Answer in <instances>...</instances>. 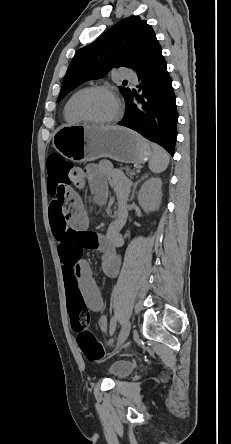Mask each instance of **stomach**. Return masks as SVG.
<instances>
[{
    "instance_id": "stomach-1",
    "label": "stomach",
    "mask_w": 231,
    "mask_h": 444,
    "mask_svg": "<svg viewBox=\"0 0 231 444\" xmlns=\"http://www.w3.org/2000/svg\"><path fill=\"white\" fill-rule=\"evenodd\" d=\"M52 143L61 155L76 162L108 157L124 163H144L152 156L150 143L123 127L62 125L56 129Z\"/></svg>"
}]
</instances>
